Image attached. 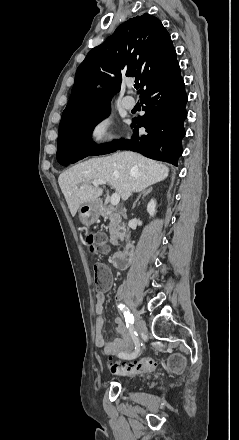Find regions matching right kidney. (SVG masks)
Wrapping results in <instances>:
<instances>
[{"label": "right kidney", "instance_id": "obj_1", "mask_svg": "<svg viewBox=\"0 0 239 440\" xmlns=\"http://www.w3.org/2000/svg\"><path fill=\"white\" fill-rule=\"evenodd\" d=\"M155 208H156L155 200H150V202L147 206V212H148V214H150V216H154V214L156 212Z\"/></svg>", "mask_w": 239, "mask_h": 440}]
</instances>
